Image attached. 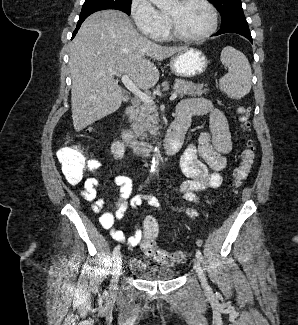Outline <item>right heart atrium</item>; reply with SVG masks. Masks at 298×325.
Here are the masks:
<instances>
[{
  "label": "right heart atrium",
  "mask_w": 298,
  "mask_h": 325,
  "mask_svg": "<svg viewBox=\"0 0 298 325\" xmlns=\"http://www.w3.org/2000/svg\"><path fill=\"white\" fill-rule=\"evenodd\" d=\"M131 15L147 41H166L163 31L167 26L166 19L151 0H134Z\"/></svg>",
  "instance_id": "obj_1"
}]
</instances>
